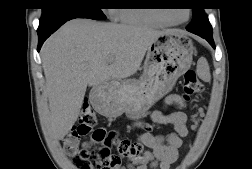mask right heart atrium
<instances>
[{
  "label": "right heart atrium",
  "mask_w": 252,
  "mask_h": 169,
  "mask_svg": "<svg viewBox=\"0 0 252 169\" xmlns=\"http://www.w3.org/2000/svg\"><path fill=\"white\" fill-rule=\"evenodd\" d=\"M114 11H115V9H109V10H108V15H109L111 18H116Z\"/></svg>",
  "instance_id": "d8ad5b80"
}]
</instances>
